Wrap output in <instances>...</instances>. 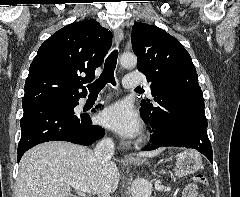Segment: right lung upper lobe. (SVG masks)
<instances>
[{
	"mask_svg": "<svg viewBox=\"0 0 240 197\" xmlns=\"http://www.w3.org/2000/svg\"><path fill=\"white\" fill-rule=\"evenodd\" d=\"M111 45V32L94 20L63 27L41 45L31 63L22 104L85 96L83 84L95 78Z\"/></svg>",
	"mask_w": 240,
	"mask_h": 197,
	"instance_id": "cb5924a9",
	"label": "right lung upper lobe"
}]
</instances>
